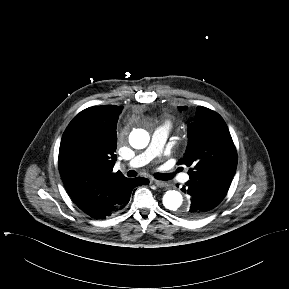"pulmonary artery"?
Segmentation results:
<instances>
[{"label":"pulmonary artery","mask_w":289,"mask_h":289,"mask_svg":"<svg viewBox=\"0 0 289 289\" xmlns=\"http://www.w3.org/2000/svg\"><path fill=\"white\" fill-rule=\"evenodd\" d=\"M169 129V124H164L157 127L152 134L151 141L148 147L143 152L135 156L128 163V165L132 168L141 167L148 164L155 157L160 156L163 151L166 139L168 137ZM181 179L183 181H187L189 179V176L187 174H183L181 176Z\"/></svg>","instance_id":"obj_1"}]
</instances>
